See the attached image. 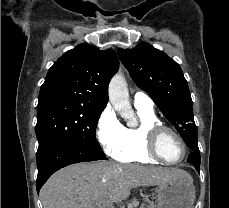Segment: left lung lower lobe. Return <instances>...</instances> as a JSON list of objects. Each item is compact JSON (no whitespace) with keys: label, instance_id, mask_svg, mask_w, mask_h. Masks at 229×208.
<instances>
[{"label":"left lung lower lobe","instance_id":"left-lung-lower-lobe-1","mask_svg":"<svg viewBox=\"0 0 229 208\" xmlns=\"http://www.w3.org/2000/svg\"><path fill=\"white\" fill-rule=\"evenodd\" d=\"M186 145L192 150L188 156V163H192L195 169L200 173V151L198 148L197 137L184 138Z\"/></svg>","mask_w":229,"mask_h":208}]
</instances>
